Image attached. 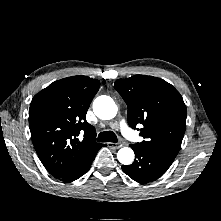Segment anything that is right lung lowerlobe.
Listing matches in <instances>:
<instances>
[{"instance_id":"right-lung-lower-lobe-1","label":"right lung lower lobe","mask_w":221,"mask_h":221,"mask_svg":"<svg viewBox=\"0 0 221 221\" xmlns=\"http://www.w3.org/2000/svg\"><path fill=\"white\" fill-rule=\"evenodd\" d=\"M96 154H94L92 157H90L82 166L74 170L73 172L60 177L61 180L65 182H72L78 178H80L82 175H84L90 168Z\"/></svg>"}]
</instances>
